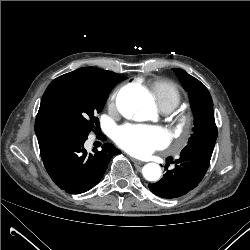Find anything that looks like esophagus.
Masks as SVG:
<instances>
[{"instance_id":"obj_1","label":"esophagus","mask_w":250,"mask_h":250,"mask_svg":"<svg viewBox=\"0 0 250 250\" xmlns=\"http://www.w3.org/2000/svg\"><path fill=\"white\" fill-rule=\"evenodd\" d=\"M132 162L134 163V165L136 166H140V165H143L144 162L141 161V160H138V159H135V158H131Z\"/></svg>"}]
</instances>
